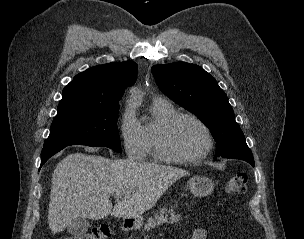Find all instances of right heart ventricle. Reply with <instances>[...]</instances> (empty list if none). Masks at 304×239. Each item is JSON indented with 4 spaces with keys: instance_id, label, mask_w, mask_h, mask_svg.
<instances>
[{
    "instance_id": "obj_1",
    "label": "right heart ventricle",
    "mask_w": 304,
    "mask_h": 239,
    "mask_svg": "<svg viewBox=\"0 0 304 239\" xmlns=\"http://www.w3.org/2000/svg\"><path fill=\"white\" fill-rule=\"evenodd\" d=\"M150 112L152 120L142 126L146 142V155L158 162L162 161L156 149L159 130L162 125L178 111L169 101L155 99L150 105Z\"/></svg>"
}]
</instances>
